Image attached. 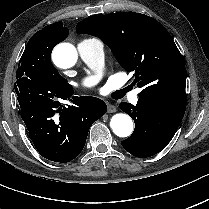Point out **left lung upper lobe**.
I'll return each mask as SVG.
<instances>
[{"label": "left lung upper lobe", "instance_id": "1", "mask_svg": "<svg viewBox=\"0 0 209 209\" xmlns=\"http://www.w3.org/2000/svg\"><path fill=\"white\" fill-rule=\"evenodd\" d=\"M80 34L99 37L119 64L134 73L139 98L186 107L185 65L169 32L155 19L135 12H117L80 21Z\"/></svg>", "mask_w": 209, "mask_h": 209}]
</instances>
